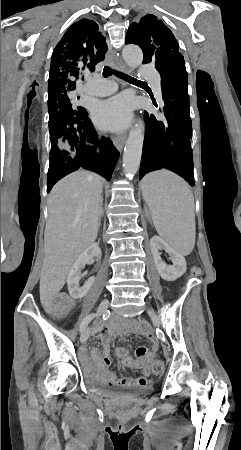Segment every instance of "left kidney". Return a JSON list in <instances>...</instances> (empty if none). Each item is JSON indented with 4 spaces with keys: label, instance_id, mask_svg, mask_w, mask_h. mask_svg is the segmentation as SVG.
<instances>
[{
    "label": "left kidney",
    "instance_id": "left-kidney-1",
    "mask_svg": "<svg viewBox=\"0 0 241 450\" xmlns=\"http://www.w3.org/2000/svg\"><path fill=\"white\" fill-rule=\"evenodd\" d=\"M150 246L156 270H158V274H160L163 280L174 282V280L183 276L184 272H186V260L184 256L175 252V250H173L171 246H168V244H166L162 238H159V236H153V238H151ZM159 250H165L166 254H169L173 266H166L161 258Z\"/></svg>",
    "mask_w": 241,
    "mask_h": 450
}]
</instances>
